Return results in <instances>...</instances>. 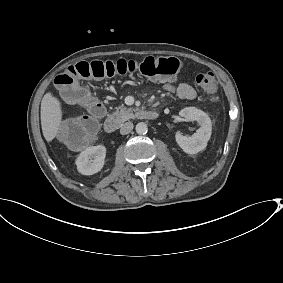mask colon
I'll list each match as a JSON object with an SVG mask.
<instances>
[{
  "label": "colon",
  "instance_id": "obj_1",
  "mask_svg": "<svg viewBox=\"0 0 283 283\" xmlns=\"http://www.w3.org/2000/svg\"><path fill=\"white\" fill-rule=\"evenodd\" d=\"M183 67L175 57L149 56L142 60L119 59L116 61L79 62L69 66L55 78V84L63 98L84 108L87 115L65 121L59 130V138L72 148L86 146L94 137L99 120L104 114L103 105L82 83L84 79H103L115 75L139 74L155 79H171ZM196 85L207 95L214 97L217 79L211 72L198 74Z\"/></svg>",
  "mask_w": 283,
  "mask_h": 283
}]
</instances>
